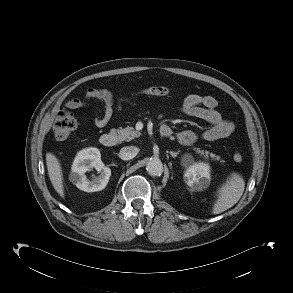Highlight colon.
Instances as JSON below:
<instances>
[{
	"instance_id": "5ec220e1",
	"label": "colon",
	"mask_w": 293,
	"mask_h": 293,
	"mask_svg": "<svg viewBox=\"0 0 293 293\" xmlns=\"http://www.w3.org/2000/svg\"><path fill=\"white\" fill-rule=\"evenodd\" d=\"M138 93L142 95L164 96L169 94V89L165 86H151L142 89ZM76 126L77 121L74 115L62 109L57 113L53 123L54 136L59 140H64L75 130ZM233 158L236 162H241L243 160V155L240 151L236 150Z\"/></svg>"
}]
</instances>
